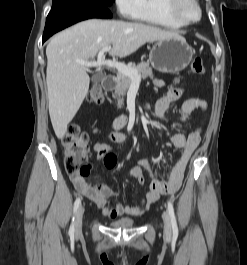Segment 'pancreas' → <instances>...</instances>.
<instances>
[{
  "label": "pancreas",
  "instance_id": "cf45deb5",
  "mask_svg": "<svg viewBox=\"0 0 247 265\" xmlns=\"http://www.w3.org/2000/svg\"><path fill=\"white\" fill-rule=\"evenodd\" d=\"M131 68L135 69L138 73V76L141 78L150 77L153 78L152 69L148 62H141L137 66L132 64ZM132 83V79L122 73L118 72L116 77V87L115 92L116 96H124L128 91L130 85ZM123 105V98L118 99V108H121Z\"/></svg>",
  "mask_w": 247,
  "mask_h": 265
}]
</instances>
